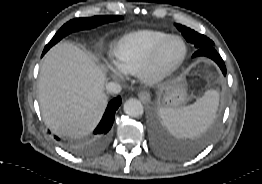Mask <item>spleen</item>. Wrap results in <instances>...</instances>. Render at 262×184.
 Instances as JSON below:
<instances>
[{
    "instance_id": "spleen-1",
    "label": "spleen",
    "mask_w": 262,
    "mask_h": 184,
    "mask_svg": "<svg viewBox=\"0 0 262 184\" xmlns=\"http://www.w3.org/2000/svg\"><path fill=\"white\" fill-rule=\"evenodd\" d=\"M219 93L208 90L195 103L182 108H161L160 116L169 131L177 137H193L204 132L214 121Z\"/></svg>"
}]
</instances>
